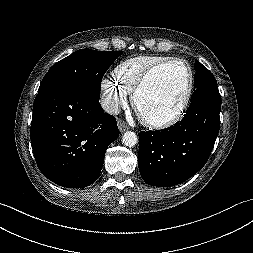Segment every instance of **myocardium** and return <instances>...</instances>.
Listing matches in <instances>:
<instances>
[{
	"mask_svg": "<svg viewBox=\"0 0 253 253\" xmlns=\"http://www.w3.org/2000/svg\"><path fill=\"white\" fill-rule=\"evenodd\" d=\"M175 64L183 65L188 72V86H187V90H186L182 105L180 109L177 111V113H175L173 116L169 118H166L163 120H144L143 119L142 120L143 123L149 127L156 128V129H163V128L174 126L185 117L189 109L191 98L193 95L194 85H195V75H194V70L191 64L187 60L182 59V58H172L150 67L140 78V80L138 81V83L136 84L132 92V105L136 109L137 99L141 91L146 87L148 82L159 70L167 66H171Z\"/></svg>",
	"mask_w": 253,
	"mask_h": 253,
	"instance_id": "myocardium-1",
	"label": "myocardium"
}]
</instances>
